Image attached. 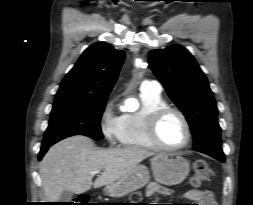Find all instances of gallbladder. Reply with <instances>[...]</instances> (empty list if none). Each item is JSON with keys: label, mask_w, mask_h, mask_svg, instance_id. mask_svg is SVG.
Instances as JSON below:
<instances>
[{"label": "gallbladder", "mask_w": 253, "mask_h": 205, "mask_svg": "<svg viewBox=\"0 0 253 205\" xmlns=\"http://www.w3.org/2000/svg\"><path fill=\"white\" fill-rule=\"evenodd\" d=\"M73 197V192L69 190H64L60 197H59V202H69Z\"/></svg>", "instance_id": "obj_1"}]
</instances>
